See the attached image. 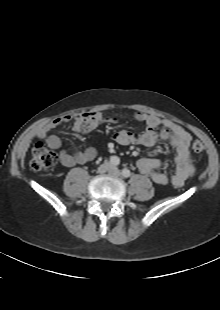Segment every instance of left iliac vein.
Wrapping results in <instances>:
<instances>
[{
  "instance_id": "1",
  "label": "left iliac vein",
  "mask_w": 220,
  "mask_h": 310,
  "mask_svg": "<svg viewBox=\"0 0 220 310\" xmlns=\"http://www.w3.org/2000/svg\"><path fill=\"white\" fill-rule=\"evenodd\" d=\"M109 172H110L111 175H113L115 177L121 176L120 171L116 167H111Z\"/></svg>"
}]
</instances>
